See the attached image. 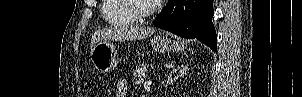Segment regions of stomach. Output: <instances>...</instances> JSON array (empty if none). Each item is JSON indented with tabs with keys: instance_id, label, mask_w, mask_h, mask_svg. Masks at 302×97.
<instances>
[{
	"instance_id": "0dacf381",
	"label": "stomach",
	"mask_w": 302,
	"mask_h": 97,
	"mask_svg": "<svg viewBox=\"0 0 302 97\" xmlns=\"http://www.w3.org/2000/svg\"><path fill=\"white\" fill-rule=\"evenodd\" d=\"M152 48L159 53L181 52L184 45L180 40L165 36H155L150 41ZM91 60L94 67L103 73L112 71L118 62L117 51L112 40L98 41L92 51Z\"/></svg>"
}]
</instances>
